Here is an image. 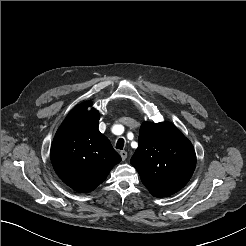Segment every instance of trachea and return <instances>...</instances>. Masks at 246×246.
<instances>
[{"instance_id": "3493384b", "label": "trachea", "mask_w": 246, "mask_h": 246, "mask_svg": "<svg viewBox=\"0 0 246 246\" xmlns=\"http://www.w3.org/2000/svg\"><path fill=\"white\" fill-rule=\"evenodd\" d=\"M123 147H124V139H123V138H120V139L117 141L116 148L122 150Z\"/></svg>"}]
</instances>
